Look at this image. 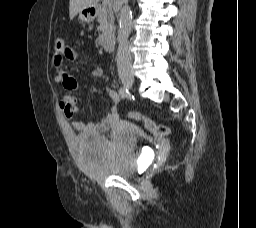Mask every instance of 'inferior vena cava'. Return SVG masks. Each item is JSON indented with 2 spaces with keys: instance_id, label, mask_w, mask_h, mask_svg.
Wrapping results in <instances>:
<instances>
[{
  "instance_id": "602c4592",
  "label": "inferior vena cava",
  "mask_w": 256,
  "mask_h": 228,
  "mask_svg": "<svg viewBox=\"0 0 256 228\" xmlns=\"http://www.w3.org/2000/svg\"><path fill=\"white\" fill-rule=\"evenodd\" d=\"M124 0H117V4L120 6ZM119 46L117 50V67L119 76L131 74L132 71V57L130 49L126 40H119Z\"/></svg>"
}]
</instances>
